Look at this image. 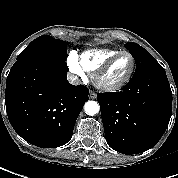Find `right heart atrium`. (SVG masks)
<instances>
[{
  "mask_svg": "<svg viewBox=\"0 0 178 178\" xmlns=\"http://www.w3.org/2000/svg\"><path fill=\"white\" fill-rule=\"evenodd\" d=\"M68 66L70 71L74 74V76L81 80L84 81L87 79V76L85 74L84 69L82 68V66L80 65L79 61H78V57L75 54H71L68 57Z\"/></svg>",
  "mask_w": 178,
  "mask_h": 178,
  "instance_id": "obj_1",
  "label": "right heart atrium"
}]
</instances>
